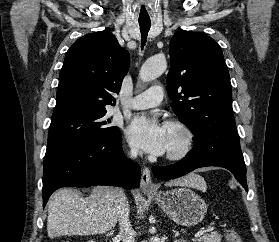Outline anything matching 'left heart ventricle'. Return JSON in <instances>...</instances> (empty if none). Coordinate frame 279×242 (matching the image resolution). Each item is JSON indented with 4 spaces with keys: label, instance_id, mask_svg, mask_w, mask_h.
Returning a JSON list of instances; mask_svg holds the SVG:
<instances>
[{
    "label": "left heart ventricle",
    "instance_id": "left-heart-ventricle-1",
    "mask_svg": "<svg viewBox=\"0 0 279 242\" xmlns=\"http://www.w3.org/2000/svg\"><path fill=\"white\" fill-rule=\"evenodd\" d=\"M167 139H168L167 152L174 151L180 147L181 135L177 130L171 127H167Z\"/></svg>",
    "mask_w": 279,
    "mask_h": 242
}]
</instances>
